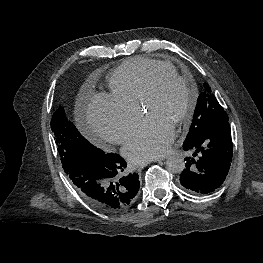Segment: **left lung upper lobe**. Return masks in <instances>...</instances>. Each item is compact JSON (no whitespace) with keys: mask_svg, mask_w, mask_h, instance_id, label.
<instances>
[{"mask_svg":"<svg viewBox=\"0 0 263 263\" xmlns=\"http://www.w3.org/2000/svg\"><path fill=\"white\" fill-rule=\"evenodd\" d=\"M204 88L197 100L193 121L185 141L195 140L215 123L228 120L226 112L212 94L209 85L205 83Z\"/></svg>","mask_w":263,"mask_h":263,"instance_id":"1","label":"left lung upper lobe"}]
</instances>
